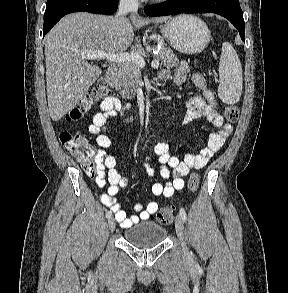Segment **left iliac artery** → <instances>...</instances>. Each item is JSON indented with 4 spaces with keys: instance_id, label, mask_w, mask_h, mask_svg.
Wrapping results in <instances>:
<instances>
[{
    "instance_id": "44dca946",
    "label": "left iliac artery",
    "mask_w": 288,
    "mask_h": 293,
    "mask_svg": "<svg viewBox=\"0 0 288 293\" xmlns=\"http://www.w3.org/2000/svg\"><path fill=\"white\" fill-rule=\"evenodd\" d=\"M180 216L182 220L185 222L187 219V216H186V211L183 208L180 209Z\"/></svg>"
}]
</instances>
